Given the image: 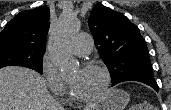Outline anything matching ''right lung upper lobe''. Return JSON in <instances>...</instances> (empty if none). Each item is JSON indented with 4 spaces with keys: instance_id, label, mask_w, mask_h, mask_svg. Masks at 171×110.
<instances>
[{
    "instance_id": "cb5924a9",
    "label": "right lung upper lobe",
    "mask_w": 171,
    "mask_h": 110,
    "mask_svg": "<svg viewBox=\"0 0 171 110\" xmlns=\"http://www.w3.org/2000/svg\"><path fill=\"white\" fill-rule=\"evenodd\" d=\"M50 10L40 6L22 11L0 32V43L10 42L37 51H45Z\"/></svg>"
}]
</instances>
